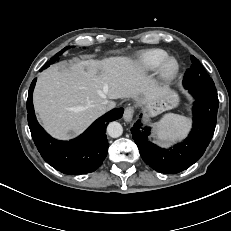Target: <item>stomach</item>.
<instances>
[{
	"label": "stomach",
	"instance_id": "0dacf381",
	"mask_svg": "<svg viewBox=\"0 0 231 231\" xmlns=\"http://www.w3.org/2000/svg\"><path fill=\"white\" fill-rule=\"evenodd\" d=\"M178 102L177 95L173 91L167 90L164 96L146 104L145 107L148 115L152 116L177 106Z\"/></svg>",
	"mask_w": 231,
	"mask_h": 231
}]
</instances>
